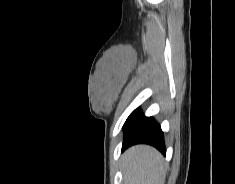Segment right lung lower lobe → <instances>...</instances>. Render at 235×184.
Returning a JSON list of instances; mask_svg holds the SVG:
<instances>
[{
    "label": "right lung lower lobe",
    "instance_id": "98d812e1",
    "mask_svg": "<svg viewBox=\"0 0 235 184\" xmlns=\"http://www.w3.org/2000/svg\"><path fill=\"white\" fill-rule=\"evenodd\" d=\"M122 151L135 144H149L165 155L164 135L160 125L152 118L145 117L136 109L126 120Z\"/></svg>",
    "mask_w": 235,
    "mask_h": 184
}]
</instances>
